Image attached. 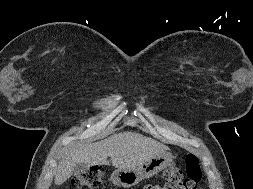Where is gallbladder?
I'll return each instance as SVG.
<instances>
[{"instance_id": "bac80fb5", "label": "gallbladder", "mask_w": 253, "mask_h": 189, "mask_svg": "<svg viewBox=\"0 0 253 189\" xmlns=\"http://www.w3.org/2000/svg\"><path fill=\"white\" fill-rule=\"evenodd\" d=\"M89 167L86 164H76L73 168L72 175L79 176L82 173H86L88 171Z\"/></svg>"}]
</instances>
